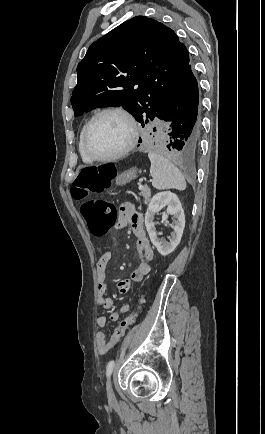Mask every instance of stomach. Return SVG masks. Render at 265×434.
Returning <instances> with one entry per match:
<instances>
[{
  "label": "stomach",
  "mask_w": 265,
  "mask_h": 434,
  "mask_svg": "<svg viewBox=\"0 0 265 434\" xmlns=\"http://www.w3.org/2000/svg\"><path fill=\"white\" fill-rule=\"evenodd\" d=\"M136 174V168H131V170L123 172V174H120V176H117V178H115L116 186H124V184H128V182H131V180H134V178H136Z\"/></svg>",
  "instance_id": "obj_1"
}]
</instances>
